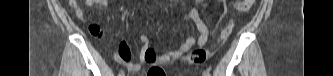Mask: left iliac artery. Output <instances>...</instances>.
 I'll list each match as a JSON object with an SVG mask.
<instances>
[{"instance_id": "left-iliac-artery-1", "label": "left iliac artery", "mask_w": 333, "mask_h": 76, "mask_svg": "<svg viewBox=\"0 0 333 76\" xmlns=\"http://www.w3.org/2000/svg\"><path fill=\"white\" fill-rule=\"evenodd\" d=\"M203 75H204V76H210V74H209L208 71H204Z\"/></svg>"}]
</instances>
